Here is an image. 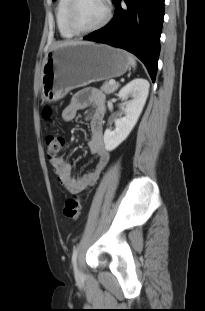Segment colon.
<instances>
[{"label": "colon", "mask_w": 205, "mask_h": 311, "mask_svg": "<svg viewBox=\"0 0 205 311\" xmlns=\"http://www.w3.org/2000/svg\"><path fill=\"white\" fill-rule=\"evenodd\" d=\"M42 117L49 126H54V109L46 106L42 110ZM47 158L52 160L59 156L65 146V139L58 135H47L45 138ZM82 199L79 195H72L66 199L64 204V215L70 221L76 222L80 217Z\"/></svg>", "instance_id": "colon-1"}]
</instances>
